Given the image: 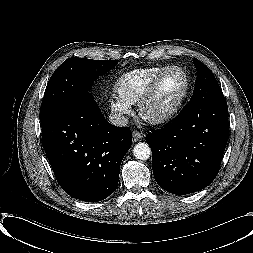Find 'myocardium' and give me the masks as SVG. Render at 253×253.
Listing matches in <instances>:
<instances>
[{
    "mask_svg": "<svg viewBox=\"0 0 253 253\" xmlns=\"http://www.w3.org/2000/svg\"><path fill=\"white\" fill-rule=\"evenodd\" d=\"M172 71H179L183 74V77L185 80V86H184V90L182 94L180 95V97L178 98L174 106L168 111L163 112L158 115L149 114L147 112V109L157 92L159 84L164 79V77ZM189 91H190V77L187 71L180 66H171L168 69L161 72L160 74H158L152 80V82L150 83V85L148 86V88L146 89V91L144 92V94L138 101V114L140 118L147 123L154 124V125L164 124L170 121L171 119H173L180 112V110L182 109L189 95Z\"/></svg>",
    "mask_w": 253,
    "mask_h": 253,
    "instance_id": "myocardium-1",
    "label": "myocardium"
}]
</instances>
